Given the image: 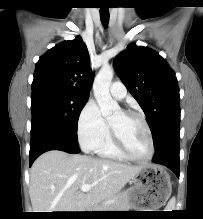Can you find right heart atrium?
Wrapping results in <instances>:
<instances>
[{"mask_svg": "<svg viewBox=\"0 0 203 219\" xmlns=\"http://www.w3.org/2000/svg\"><path fill=\"white\" fill-rule=\"evenodd\" d=\"M108 132V123L98 105L88 101L82 108L77 121V135L82 149L95 151Z\"/></svg>", "mask_w": 203, "mask_h": 219, "instance_id": "right-heart-atrium-1", "label": "right heart atrium"}]
</instances>
